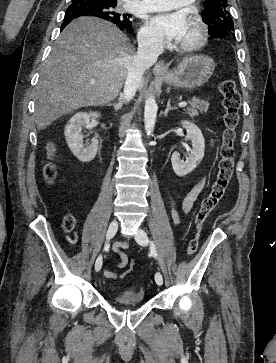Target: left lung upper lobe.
Returning <instances> with one entry per match:
<instances>
[{
	"instance_id": "obj_1",
	"label": "left lung upper lobe",
	"mask_w": 276,
	"mask_h": 363,
	"mask_svg": "<svg viewBox=\"0 0 276 363\" xmlns=\"http://www.w3.org/2000/svg\"><path fill=\"white\" fill-rule=\"evenodd\" d=\"M202 17L209 25L208 33L211 37L234 36V23L228 9L227 0H206Z\"/></svg>"
}]
</instances>
